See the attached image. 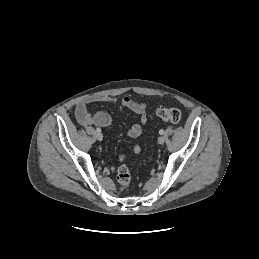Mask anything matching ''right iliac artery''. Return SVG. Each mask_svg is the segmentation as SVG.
Wrapping results in <instances>:
<instances>
[{
    "mask_svg": "<svg viewBox=\"0 0 259 259\" xmlns=\"http://www.w3.org/2000/svg\"><path fill=\"white\" fill-rule=\"evenodd\" d=\"M96 131H97L98 133H100V132H101V129H100V128H96Z\"/></svg>",
    "mask_w": 259,
    "mask_h": 259,
    "instance_id": "obj_1",
    "label": "right iliac artery"
}]
</instances>
